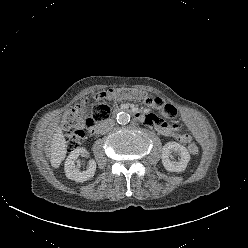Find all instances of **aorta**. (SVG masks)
Here are the masks:
<instances>
[{
	"label": "aorta",
	"mask_w": 248,
	"mask_h": 248,
	"mask_svg": "<svg viewBox=\"0 0 248 248\" xmlns=\"http://www.w3.org/2000/svg\"><path fill=\"white\" fill-rule=\"evenodd\" d=\"M116 120L121 125H126L130 122V115L126 112H120L117 114Z\"/></svg>",
	"instance_id": "aorta-1"
}]
</instances>
